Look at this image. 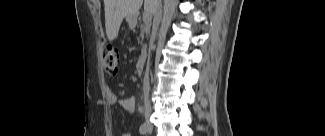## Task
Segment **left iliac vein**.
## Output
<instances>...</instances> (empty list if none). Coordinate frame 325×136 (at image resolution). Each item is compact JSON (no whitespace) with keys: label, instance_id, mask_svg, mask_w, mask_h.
I'll return each instance as SVG.
<instances>
[{"label":"left iliac vein","instance_id":"left-iliac-vein-1","mask_svg":"<svg viewBox=\"0 0 325 136\" xmlns=\"http://www.w3.org/2000/svg\"><path fill=\"white\" fill-rule=\"evenodd\" d=\"M152 129H153V126H152V124L150 123V124L148 125V132H151Z\"/></svg>","mask_w":325,"mask_h":136}]
</instances>
